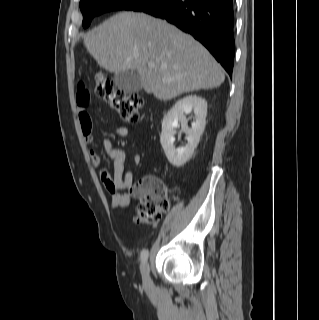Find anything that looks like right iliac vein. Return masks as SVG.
<instances>
[{"label":"right iliac vein","mask_w":319,"mask_h":320,"mask_svg":"<svg viewBox=\"0 0 319 320\" xmlns=\"http://www.w3.org/2000/svg\"><path fill=\"white\" fill-rule=\"evenodd\" d=\"M141 273H142V280H143V285L146 288H151L152 287V281L149 275V265L147 263H144L141 267Z\"/></svg>","instance_id":"1"}]
</instances>
